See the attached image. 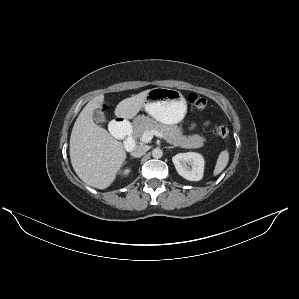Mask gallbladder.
I'll return each instance as SVG.
<instances>
[{"label": "gallbladder", "instance_id": "1", "mask_svg": "<svg viewBox=\"0 0 299 299\" xmlns=\"http://www.w3.org/2000/svg\"><path fill=\"white\" fill-rule=\"evenodd\" d=\"M94 119L97 123H105L106 122L105 115L102 112H96L94 114Z\"/></svg>", "mask_w": 299, "mask_h": 299}]
</instances>
